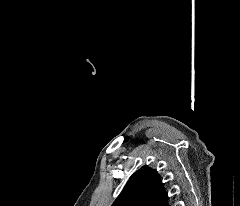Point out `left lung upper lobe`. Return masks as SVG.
I'll return each instance as SVG.
<instances>
[{
	"mask_svg": "<svg viewBox=\"0 0 240 206\" xmlns=\"http://www.w3.org/2000/svg\"><path fill=\"white\" fill-rule=\"evenodd\" d=\"M157 173L148 166L135 172L112 206H170Z\"/></svg>",
	"mask_w": 240,
	"mask_h": 206,
	"instance_id": "1",
	"label": "left lung upper lobe"
}]
</instances>
